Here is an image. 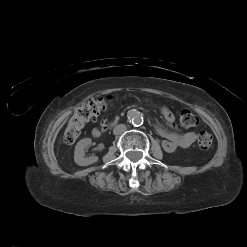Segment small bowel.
<instances>
[{
  "instance_id": "1",
  "label": "small bowel",
  "mask_w": 247,
  "mask_h": 247,
  "mask_svg": "<svg viewBox=\"0 0 247 247\" xmlns=\"http://www.w3.org/2000/svg\"><path fill=\"white\" fill-rule=\"evenodd\" d=\"M160 110L165 121L172 126L174 123V116L172 112L165 106H162ZM106 125V122H103L101 128H94L92 130V135L94 137L100 136L101 132L106 128ZM157 131L164 138V140L162 141V148L168 153H172L178 148H188L196 140V133L192 131L186 133H178L176 131L167 129L160 124L157 125Z\"/></svg>"
}]
</instances>
